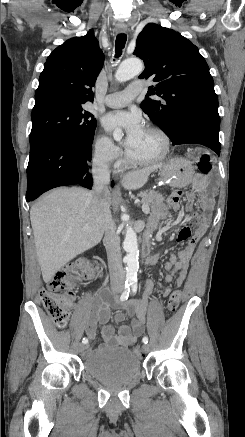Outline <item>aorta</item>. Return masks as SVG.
I'll list each match as a JSON object with an SVG mask.
<instances>
[{"mask_svg": "<svg viewBox=\"0 0 245 437\" xmlns=\"http://www.w3.org/2000/svg\"><path fill=\"white\" fill-rule=\"evenodd\" d=\"M143 63L139 59H128L120 64L116 71L115 78L118 82L127 81L134 76L140 74L143 71ZM115 140H120L122 138V132L120 130H115L113 133ZM123 224L126 225L125 238L123 242V248L126 251V256L124 257V262L127 264L126 267V280L128 282H133L137 278V272L139 268V250L137 242V234L130 226L127 215L121 217Z\"/></svg>", "mask_w": 245, "mask_h": 437, "instance_id": "obj_1", "label": "aorta"}]
</instances>
